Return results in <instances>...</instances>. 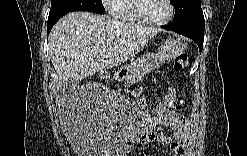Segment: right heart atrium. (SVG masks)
I'll use <instances>...</instances> for the list:
<instances>
[{"label":"right heart atrium","mask_w":247,"mask_h":156,"mask_svg":"<svg viewBox=\"0 0 247 156\" xmlns=\"http://www.w3.org/2000/svg\"><path fill=\"white\" fill-rule=\"evenodd\" d=\"M119 1L117 0H105L103 1V5L112 13L114 14L115 11V7L117 6Z\"/></svg>","instance_id":"obj_1"}]
</instances>
